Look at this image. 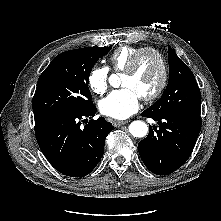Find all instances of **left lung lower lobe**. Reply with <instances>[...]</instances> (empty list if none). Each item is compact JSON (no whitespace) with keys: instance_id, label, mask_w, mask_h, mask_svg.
Instances as JSON below:
<instances>
[{"instance_id":"left-lung-lower-lobe-1","label":"left lung lower lobe","mask_w":221,"mask_h":221,"mask_svg":"<svg viewBox=\"0 0 221 221\" xmlns=\"http://www.w3.org/2000/svg\"><path fill=\"white\" fill-rule=\"evenodd\" d=\"M160 125L150 126L148 136L139 142L138 150L146 167L157 175L176 171L189 158L201 129L200 115L154 116L144 111Z\"/></svg>"}]
</instances>
